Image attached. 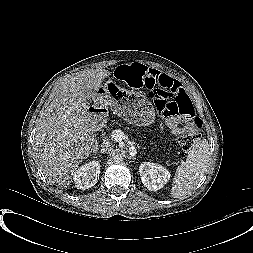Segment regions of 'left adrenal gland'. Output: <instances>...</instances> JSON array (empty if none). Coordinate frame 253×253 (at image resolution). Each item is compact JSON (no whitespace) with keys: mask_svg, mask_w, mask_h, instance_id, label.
<instances>
[{"mask_svg":"<svg viewBox=\"0 0 253 253\" xmlns=\"http://www.w3.org/2000/svg\"><path fill=\"white\" fill-rule=\"evenodd\" d=\"M130 159H136L134 156H130Z\"/></svg>","mask_w":253,"mask_h":253,"instance_id":"a2214340","label":"left adrenal gland"}]
</instances>
